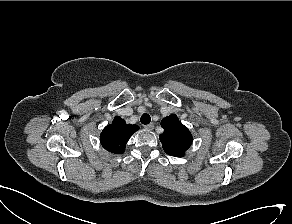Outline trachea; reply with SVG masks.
Segmentation results:
<instances>
[{"label": "trachea", "instance_id": "obj_1", "mask_svg": "<svg viewBox=\"0 0 292 224\" xmlns=\"http://www.w3.org/2000/svg\"><path fill=\"white\" fill-rule=\"evenodd\" d=\"M140 121H141L142 124H145V125H146V124H149L150 121H151V117H150V115H148V114H143V115L141 116Z\"/></svg>", "mask_w": 292, "mask_h": 224}]
</instances>
